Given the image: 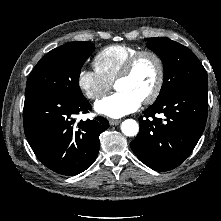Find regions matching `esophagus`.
<instances>
[{"label":"esophagus","instance_id":"obj_1","mask_svg":"<svg viewBox=\"0 0 221 221\" xmlns=\"http://www.w3.org/2000/svg\"><path fill=\"white\" fill-rule=\"evenodd\" d=\"M121 122V120H116V119H110L109 123L110 125L116 126Z\"/></svg>","mask_w":221,"mask_h":221}]
</instances>
